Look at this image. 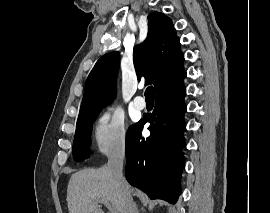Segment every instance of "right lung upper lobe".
I'll return each mask as SVG.
<instances>
[{
  "mask_svg": "<svg viewBox=\"0 0 270 213\" xmlns=\"http://www.w3.org/2000/svg\"><path fill=\"white\" fill-rule=\"evenodd\" d=\"M133 62L138 80L154 84L155 91L184 71L180 39L170 18L159 12L148 16V35L134 47ZM119 63L120 55L116 51L96 62L86 80L78 120L99 113L113 100Z\"/></svg>",
  "mask_w": 270,
  "mask_h": 213,
  "instance_id": "1",
  "label": "right lung upper lobe"
}]
</instances>
